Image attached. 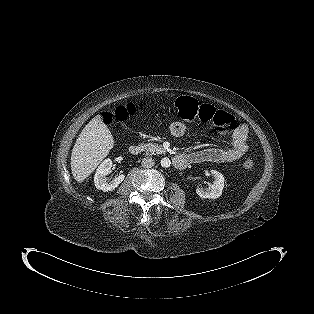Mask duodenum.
I'll list each match as a JSON object with an SVG mask.
<instances>
[{
	"mask_svg": "<svg viewBox=\"0 0 314 314\" xmlns=\"http://www.w3.org/2000/svg\"><path fill=\"white\" fill-rule=\"evenodd\" d=\"M142 151V146L139 144H134L129 147V153L131 155H138ZM189 163V159L185 155H177L173 158V165L177 169H183Z\"/></svg>",
	"mask_w": 314,
	"mask_h": 314,
	"instance_id": "410a0bca",
	"label": "duodenum"
}]
</instances>
